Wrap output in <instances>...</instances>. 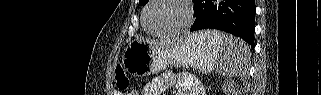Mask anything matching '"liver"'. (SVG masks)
Here are the masks:
<instances>
[{
    "label": "liver",
    "mask_w": 321,
    "mask_h": 95,
    "mask_svg": "<svg viewBox=\"0 0 321 95\" xmlns=\"http://www.w3.org/2000/svg\"><path fill=\"white\" fill-rule=\"evenodd\" d=\"M146 42L153 44V45H161L163 47L169 48L172 45L180 42V40H169L168 42L156 41V40H145Z\"/></svg>",
    "instance_id": "liver-1"
}]
</instances>
